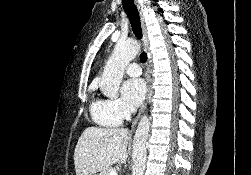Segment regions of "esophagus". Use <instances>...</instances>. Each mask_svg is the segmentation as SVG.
Listing matches in <instances>:
<instances>
[{
    "instance_id": "esophagus-1",
    "label": "esophagus",
    "mask_w": 251,
    "mask_h": 175,
    "mask_svg": "<svg viewBox=\"0 0 251 175\" xmlns=\"http://www.w3.org/2000/svg\"><path fill=\"white\" fill-rule=\"evenodd\" d=\"M139 14H140V23H141V27H142V33H143V46H144V49L146 51H148V49H149V39H148V34H147V28H146V25H145L144 16H143L142 12L140 11ZM150 81H151L150 75L147 74L146 75V87H147V93L148 94L150 92ZM146 105H147V99L142 104V106H141L135 120L133 121L132 128H135L139 118L141 117L143 111L146 108Z\"/></svg>"
}]
</instances>
